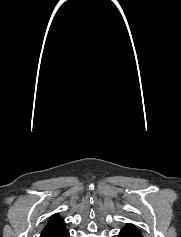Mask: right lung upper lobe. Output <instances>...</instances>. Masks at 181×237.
<instances>
[{
    "label": "right lung upper lobe",
    "instance_id": "right-lung-upper-lobe-1",
    "mask_svg": "<svg viewBox=\"0 0 181 237\" xmlns=\"http://www.w3.org/2000/svg\"><path fill=\"white\" fill-rule=\"evenodd\" d=\"M67 232L68 230L63 218L55 214L49 219L40 237H62Z\"/></svg>",
    "mask_w": 181,
    "mask_h": 237
}]
</instances>
